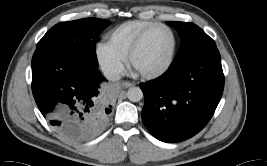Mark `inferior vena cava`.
<instances>
[{
  "label": "inferior vena cava",
  "mask_w": 267,
  "mask_h": 166,
  "mask_svg": "<svg viewBox=\"0 0 267 166\" xmlns=\"http://www.w3.org/2000/svg\"><path fill=\"white\" fill-rule=\"evenodd\" d=\"M104 75L108 80L116 81L121 78L120 72L113 68V67H107L104 69Z\"/></svg>",
  "instance_id": "inferior-vena-cava-1"
}]
</instances>
